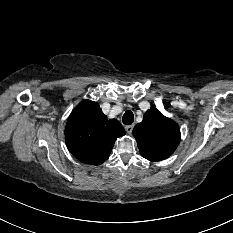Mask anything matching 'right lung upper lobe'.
Listing matches in <instances>:
<instances>
[{
  "instance_id": "right-lung-upper-lobe-1",
  "label": "right lung upper lobe",
  "mask_w": 233,
  "mask_h": 233,
  "mask_svg": "<svg viewBox=\"0 0 233 233\" xmlns=\"http://www.w3.org/2000/svg\"><path fill=\"white\" fill-rule=\"evenodd\" d=\"M125 135L116 120H108L99 104L82 101L70 114L65 139L69 151L81 162L100 165L109 158L115 140Z\"/></svg>"
}]
</instances>
